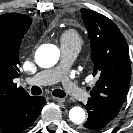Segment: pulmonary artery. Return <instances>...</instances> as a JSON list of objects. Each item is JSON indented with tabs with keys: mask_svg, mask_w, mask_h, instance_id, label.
Instances as JSON below:
<instances>
[{
	"mask_svg": "<svg viewBox=\"0 0 133 133\" xmlns=\"http://www.w3.org/2000/svg\"><path fill=\"white\" fill-rule=\"evenodd\" d=\"M78 52L79 49L77 48L62 46V58L60 63L54 68L37 73L28 79L27 82L34 85H49L60 82L69 96L76 100L85 101L88 94L75 85L67 76L68 69L77 57Z\"/></svg>",
	"mask_w": 133,
	"mask_h": 133,
	"instance_id": "1",
	"label": "pulmonary artery"
}]
</instances>
